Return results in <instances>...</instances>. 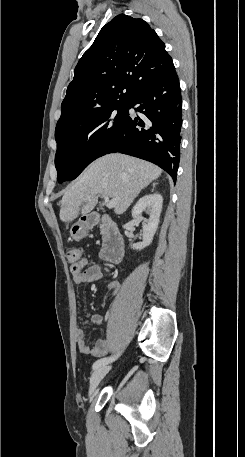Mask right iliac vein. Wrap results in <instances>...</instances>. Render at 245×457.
Returning <instances> with one entry per match:
<instances>
[{
  "label": "right iliac vein",
  "mask_w": 245,
  "mask_h": 457,
  "mask_svg": "<svg viewBox=\"0 0 245 457\" xmlns=\"http://www.w3.org/2000/svg\"><path fill=\"white\" fill-rule=\"evenodd\" d=\"M110 368V366L104 365L93 371L90 378L89 395H91L96 390L98 384L106 376Z\"/></svg>",
  "instance_id": "63e3f726"
}]
</instances>
